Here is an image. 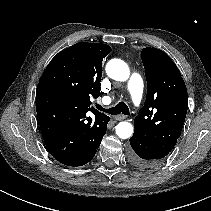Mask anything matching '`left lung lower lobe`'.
I'll return each instance as SVG.
<instances>
[{
  "instance_id": "1",
  "label": "left lung lower lobe",
  "mask_w": 211,
  "mask_h": 211,
  "mask_svg": "<svg viewBox=\"0 0 211 211\" xmlns=\"http://www.w3.org/2000/svg\"><path fill=\"white\" fill-rule=\"evenodd\" d=\"M129 160L142 169H150L159 166L170 153L164 146L145 137L139 131L134 130L130 138Z\"/></svg>"
}]
</instances>
